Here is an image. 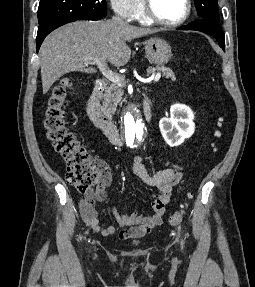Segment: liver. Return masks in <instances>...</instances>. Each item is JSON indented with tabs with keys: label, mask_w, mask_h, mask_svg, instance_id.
Returning a JSON list of instances; mask_svg holds the SVG:
<instances>
[{
	"label": "liver",
	"mask_w": 255,
	"mask_h": 287,
	"mask_svg": "<svg viewBox=\"0 0 255 287\" xmlns=\"http://www.w3.org/2000/svg\"><path fill=\"white\" fill-rule=\"evenodd\" d=\"M158 30L136 28L128 22H73L45 38L39 52L43 94L68 72L95 74L86 68L84 58H105L113 66H125L131 58L126 42L155 34Z\"/></svg>",
	"instance_id": "liver-1"
}]
</instances>
